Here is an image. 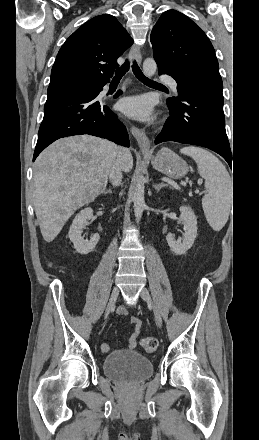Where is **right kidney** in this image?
<instances>
[{
    "label": "right kidney",
    "mask_w": 259,
    "mask_h": 440,
    "mask_svg": "<svg viewBox=\"0 0 259 440\" xmlns=\"http://www.w3.org/2000/svg\"><path fill=\"white\" fill-rule=\"evenodd\" d=\"M92 218L93 210L85 208L76 215L69 229L68 237L73 243L75 250L82 255L92 252L100 239L99 234H94L89 241L84 240L82 237L83 228L88 224V220Z\"/></svg>",
    "instance_id": "obj_1"
}]
</instances>
